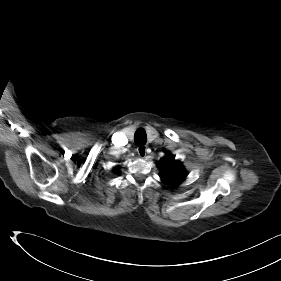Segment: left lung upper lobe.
<instances>
[{
    "mask_svg": "<svg viewBox=\"0 0 281 281\" xmlns=\"http://www.w3.org/2000/svg\"><path fill=\"white\" fill-rule=\"evenodd\" d=\"M158 166L162 181L171 187L180 184L187 176V172L184 170L182 164L176 161L175 157L171 154L162 158Z\"/></svg>",
    "mask_w": 281,
    "mask_h": 281,
    "instance_id": "obj_1",
    "label": "left lung upper lobe"
}]
</instances>
